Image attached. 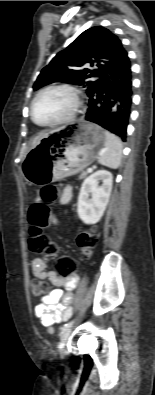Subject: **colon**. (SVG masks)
<instances>
[{
  "instance_id": "obj_1",
  "label": "colon",
  "mask_w": 155,
  "mask_h": 395,
  "mask_svg": "<svg viewBox=\"0 0 155 395\" xmlns=\"http://www.w3.org/2000/svg\"><path fill=\"white\" fill-rule=\"evenodd\" d=\"M57 188L55 186H45L40 191V197L43 203L33 205L28 214L30 224V237L28 240L29 250L32 252L43 253L45 255L56 254L58 247L44 233L43 228L47 225L50 215L48 203L52 202L57 196ZM97 241L96 228L80 233L76 238V243L85 256H89L91 250ZM58 275H76L74 261L69 258L68 254L61 251L59 256ZM31 293L35 297L41 296L46 290L45 282L41 280H33L31 282Z\"/></svg>"
}]
</instances>
